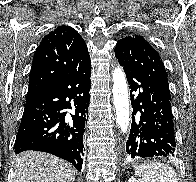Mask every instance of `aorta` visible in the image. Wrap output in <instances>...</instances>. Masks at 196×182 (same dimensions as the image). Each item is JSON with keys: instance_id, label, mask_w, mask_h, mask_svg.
<instances>
[{"instance_id": "obj_1", "label": "aorta", "mask_w": 196, "mask_h": 182, "mask_svg": "<svg viewBox=\"0 0 196 182\" xmlns=\"http://www.w3.org/2000/svg\"><path fill=\"white\" fill-rule=\"evenodd\" d=\"M113 76V102L116 109V123L123 133H126L130 124V106L128 86L125 74L121 67H116Z\"/></svg>"}]
</instances>
